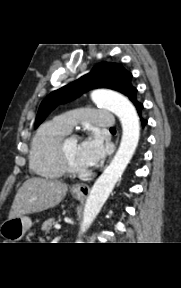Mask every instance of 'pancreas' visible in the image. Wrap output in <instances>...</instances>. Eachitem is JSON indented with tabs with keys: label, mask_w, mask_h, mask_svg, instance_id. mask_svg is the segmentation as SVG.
<instances>
[{
	"label": "pancreas",
	"mask_w": 181,
	"mask_h": 288,
	"mask_svg": "<svg viewBox=\"0 0 181 288\" xmlns=\"http://www.w3.org/2000/svg\"><path fill=\"white\" fill-rule=\"evenodd\" d=\"M55 224H57V221L54 218L47 219L43 223L41 230L44 231L45 233H49L50 230L52 229V226Z\"/></svg>",
	"instance_id": "cf45deb5"
}]
</instances>
